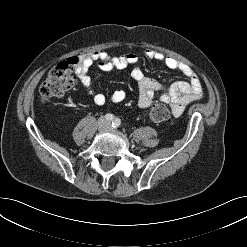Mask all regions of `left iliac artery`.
Segmentation results:
<instances>
[{
    "label": "left iliac artery",
    "mask_w": 247,
    "mask_h": 247,
    "mask_svg": "<svg viewBox=\"0 0 247 247\" xmlns=\"http://www.w3.org/2000/svg\"><path fill=\"white\" fill-rule=\"evenodd\" d=\"M120 124H121V121H120V119H115L114 120V122H112V126L114 127V128H118L119 126H120Z\"/></svg>",
    "instance_id": "1"
}]
</instances>
